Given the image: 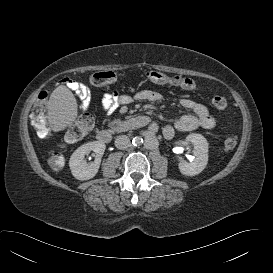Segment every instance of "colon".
Segmentation results:
<instances>
[{"mask_svg": "<svg viewBox=\"0 0 273 273\" xmlns=\"http://www.w3.org/2000/svg\"><path fill=\"white\" fill-rule=\"evenodd\" d=\"M146 79L154 84H169L193 90L196 88V83L190 78L178 75L168 76L162 72L153 70L146 73ZM117 80L118 75L111 71L97 72L90 77V82L96 86L109 85L115 83ZM47 98V92L40 93L31 113V124L41 138H47L51 134L47 121ZM212 104L217 109H224L227 106V101L223 96H215L212 99ZM93 126L94 121L89 114L80 115L67 132V142L72 143L81 140L92 130ZM236 144V137L233 134L228 133L224 139L225 147L227 149H232ZM60 164L61 156L59 154L53 155L50 159V165L57 168Z\"/></svg>", "mask_w": 273, "mask_h": 273, "instance_id": "colon-1", "label": "colon"}]
</instances>
